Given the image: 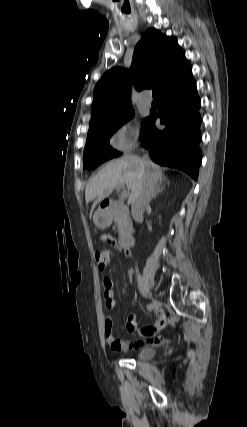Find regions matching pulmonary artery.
<instances>
[{
  "label": "pulmonary artery",
  "mask_w": 247,
  "mask_h": 427,
  "mask_svg": "<svg viewBox=\"0 0 247 427\" xmlns=\"http://www.w3.org/2000/svg\"><path fill=\"white\" fill-rule=\"evenodd\" d=\"M140 101L143 105H146V106H149L152 103V99L147 95L142 96Z\"/></svg>",
  "instance_id": "obj_1"
}]
</instances>
